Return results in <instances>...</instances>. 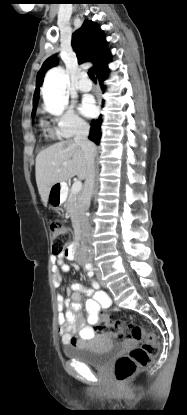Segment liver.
Here are the masks:
<instances>
[{
  "instance_id": "liver-1",
  "label": "liver",
  "mask_w": 187,
  "mask_h": 415,
  "mask_svg": "<svg viewBox=\"0 0 187 415\" xmlns=\"http://www.w3.org/2000/svg\"><path fill=\"white\" fill-rule=\"evenodd\" d=\"M86 170L84 152L73 140L61 141L42 150L36 157L35 176L43 204L47 205L53 185L65 182L75 175L85 179Z\"/></svg>"
}]
</instances>
